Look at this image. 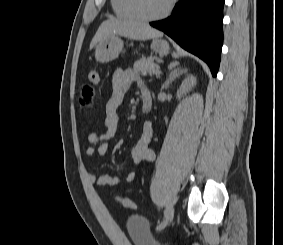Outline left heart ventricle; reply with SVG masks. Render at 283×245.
<instances>
[{
	"label": "left heart ventricle",
	"instance_id": "b2bd125f",
	"mask_svg": "<svg viewBox=\"0 0 283 245\" xmlns=\"http://www.w3.org/2000/svg\"><path fill=\"white\" fill-rule=\"evenodd\" d=\"M169 0H140V8L146 15H157L167 6Z\"/></svg>",
	"mask_w": 283,
	"mask_h": 245
}]
</instances>
